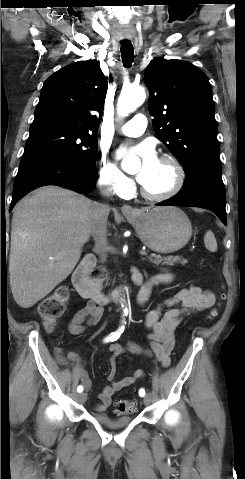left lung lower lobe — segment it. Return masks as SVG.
Returning <instances> with one entry per match:
<instances>
[{"label": "left lung lower lobe", "mask_w": 245, "mask_h": 479, "mask_svg": "<svg viewBox=\"0 0 245 479\" xmlns=\"http://www.w3.org/2000/svg\"><path fill=\"white\" fill-rule=\"evenodd\" d=\"M219 160L199 163L186 173L181 191L158 206H187L205 208L215 213L226 225L225 187Z\"/></svg>", "instance_id": "left-lung-lower-lobe-1"}]
</instances>
